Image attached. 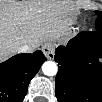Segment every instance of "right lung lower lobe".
Returning <instances> with one entry per match:
<instances>
[{
	"label": "right lung lower lobe",
	"mask_w": 102,
	"mask_h": 102,
	"mask_svg": "<svg viewBox=\"0 0 102 102\" xmlns=\"http://www.w3.org/2000/svg\"><path fill=\"white\" fill-rule=\"evenodd\" d=\"M45 61L43 53L35 51L33 54H18L0 64V100L21 102L27 94L29 82Z\"/></svg>",
	"instance_id": "right-lung-lower-lobe-1"
}]
</instances>
